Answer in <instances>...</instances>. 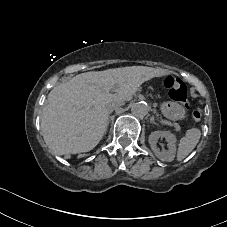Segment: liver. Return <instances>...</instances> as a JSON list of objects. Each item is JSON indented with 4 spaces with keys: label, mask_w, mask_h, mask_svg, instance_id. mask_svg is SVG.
<instances>
[{
    "label": "liver",
    "mask_w": 227,
    "mask_h": 227,
    "mask_svg": "<svg viewBox=\"0 0 227 227\" xmlns=\"http://www.w3.org/2000/svg\"><path fill=\"white\" fill-rule=\"evenodd\" d=\"M157 69L132 66L88 72L55 86L42 109L41 130L54 156L79 154L93 150L107 130V104L110 91L130 97L143 82L153 78Z\"/></svg>",
    "instance_id": "obj_1"
}]
</instances>
